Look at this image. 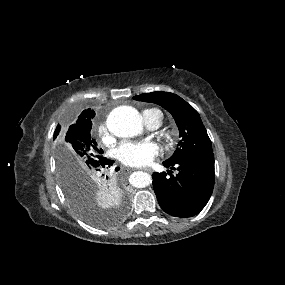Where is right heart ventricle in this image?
<instances>
[{
    "label": "right heart ventricle",
    "mask_w": 285,
    "mask_h": 285,
    "mask_svg": "<svg viewBox=\"0 0 285 285\" xmlns=\"http://www.w3.org/2000/svg\"><path fill=\"white\" fill-rule=\"evenodd\" d=\"M146 111H149L151 113L156 114V116L158 117L159 121L161 122L162 114H161V112L159 110H157V109H150V110H146Z\"/></svg>",
    "instance_id": "right-heart-ventricle-1"
}]
</instances>
